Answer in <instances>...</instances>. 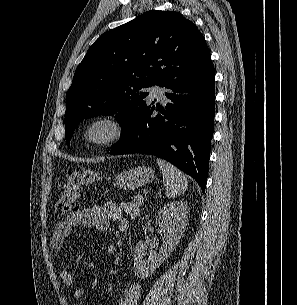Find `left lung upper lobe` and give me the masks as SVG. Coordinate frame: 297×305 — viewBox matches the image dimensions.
<instances>
[{"label":"left lung upper lobe","mask_w":297,"mask_h":305,"mask_svg":"<svg viewBox=\"0 0 297 305\" xmlns=\"http://www.w3.org/2000/svg\"><path fill=\"white\" fill-rule=\"evenodd\" d=\"M210 64L203 35L178 12L148 11L103 34L78 65L67 92V144L82 120L97 115H115L124 126L120 142L149 103L144 88Z\"/></svg>","instance_id":"1"}]
</instances>
